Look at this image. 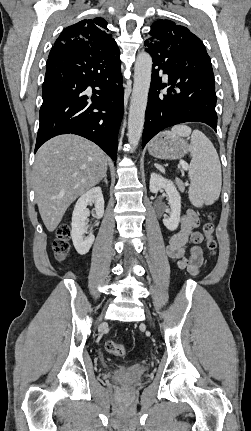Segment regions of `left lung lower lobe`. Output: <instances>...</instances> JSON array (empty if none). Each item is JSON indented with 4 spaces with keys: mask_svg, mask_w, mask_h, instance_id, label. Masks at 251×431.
I'll return each instance as SVG.
<instances>
[{
    "mask_svg": "<svg viewBox=\"0 0 251 431\" xmlns=\"http://www.w3.org/2000/svg\"><path fill=\"white\" fill-rule=\"evenodd\" d=\"M145 50L153 60L142 147L161 130L185 122H202L216 131L217 114L211 61L188 49L170 48L147 39ZM159 73L168 74L167 84ZM168 87L167 94L160 90Z\"/></svg>",
    "mask_w": 251,
    "mask_h": 431,
    "instance_id": "obj_1",
    "label": "left lung lower lobe"
}]
</instances>
